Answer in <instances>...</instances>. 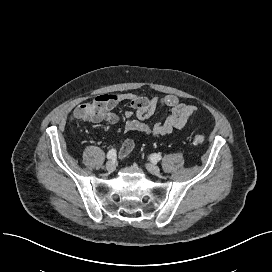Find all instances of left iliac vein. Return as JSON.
<instances>
[{
  "label": "left iliac vein",
  "instance_id": "4c4485c4",
  "mask_svg": "<svg viewBox=\"0 0 272 272\" xmlns=\"http://www.w3.org/2000/svg\"><path fill=\"white\" fill-rule=\"evenodd\" d=\"M146 168L153 175H159L160 174V168L157 165L153 164V163H148L146 165Z\"/></svg>",
  "mask_w": 272,
  "mask_h": 272
}]
</instances>
